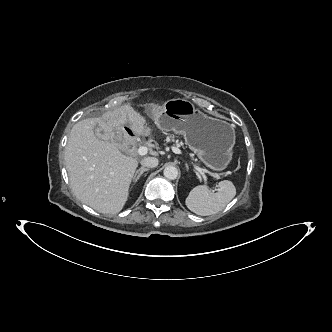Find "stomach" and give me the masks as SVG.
Returning a JSON list of instances; mask_svg holds the SVG:
<instances>
[{
    "label": "stomach",
    "instance_id": "0dacf381",
    "mask_svg": "<svg viewBox=\"0 0 332 332\" xmlns=\"http://www.w3.org/2000/svg\"><path fill=\"white\" fill-rule=\"evenodd\" d=\"M158 116L156 126L163 132L181 134L199 159L214 171L225 170L232 160L235 130L226 121L208 117L185 99L168 100Z\"/></svg>",
    "mask_w": 332,
    "mask_h": 332
}]
</instances>
